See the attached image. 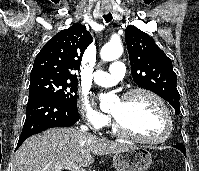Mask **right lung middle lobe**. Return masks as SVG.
<instances>
[{"mask_svg": "<svg viewBox=\"0 0 199 171\" xmlns=\"http://www.w3.org/2000/svg\"><path fill=\"white\" fill-rule=\"evenodd\" d=\"M77 90V82L43 75L31 77L29 96L36 93H47L76 109Z\"/></svg>", "mask_w": 199, "mask_h": 171, "instance_id": "dd1d6c3e", "label": "right lung middle lobe"}]
</instances>
